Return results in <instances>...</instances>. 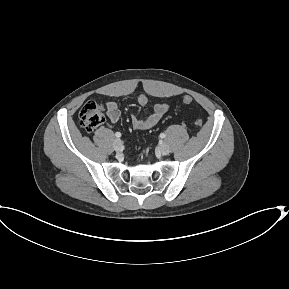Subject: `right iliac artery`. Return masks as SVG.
<instances>
[{"label":"right iliac artery","mask_w":289,"mask_h":289,"mask_svg":"<svg viewBox=\"0 0 289 289\" xmlns=\"http://www.w3.org/2000/svg\"><path fill=\"white\" fill-rule=\"evenodd\" d=\"M115 136H116L117 138H120V137H121V133H120V132H116V133H115Z\"/></svg>","instance_id":"right-iliac-artery-1"}]
</instances>
